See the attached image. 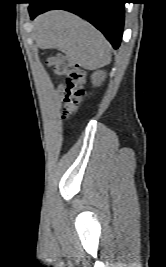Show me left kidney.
<instances>
[{"label":"left kidney","instance_id":"5707ae66","mask_svg":"<svg viewBox=\"0 0 166 267\" xmlns=\"http://www.w3.org/2000/svg\"><path fill=\"white\" fill-rule=\"evenodd\" d=\"M101 79V73L99 72H95L93 75H92V82L93 84H96L97 81H99Z\"/></svg>","mask_w":166,"mask_h":267}]
</instances>
